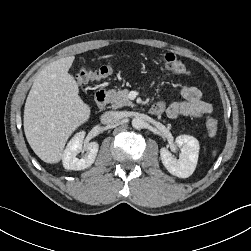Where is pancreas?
<instances>
[{
	"mask_svg": "<svg viewBox=\"0 0 251 251\" xmlns=\"http://www.w3.org/2000/svg\"><path fill=\"white\" fill-rule=\"evenodd\" d=\"M110 96V102L114 109L121 108L123 106H133V103L128 99V90H110L108 92Z\"/></svg>",
	"mask_w": 251,
	"mask_h": 251,
	"instance_id": "1",
	"label": "pancreas"
}]
</instances>
